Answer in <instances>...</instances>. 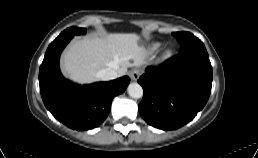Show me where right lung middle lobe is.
<instances>
[{"mask_svg":"<svg viewBox=\"0 0 258 158\" xmlns=\"http://www.w3.org/2000/svg\"><path fill=\"white\" fill-rule=\"evenodd\" d=\"M86 29L84 28H77V27H70L66 30H64L60 35H80V34H85Z\"/></svg>","mask_w":258,"mask_h":158,"instance_id":"dd1d6c3e","label":"right lung middle lobe"}]
</instances>
